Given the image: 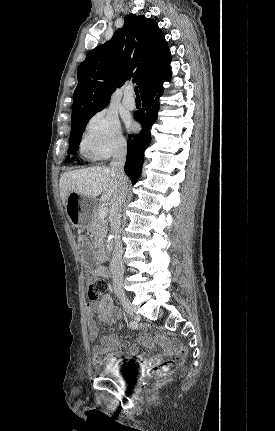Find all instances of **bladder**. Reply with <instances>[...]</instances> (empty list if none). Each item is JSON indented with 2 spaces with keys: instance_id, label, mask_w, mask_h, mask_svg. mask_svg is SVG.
Masks as SVG:
<instances>
[{
  "instance_id": "1",
  "label": "bladder",
  "mask_w": 275,
  "mask_h": 431,
  "mask_svg": "<svg viewBox=\"0 0 275 431\" xmlns=\"http://www.w3.org/2000/svg\"><path fill=\"white\" fill-rule=\"evenodd\" d=\"M102 372L112 377L117 383H125L128 377L129 366L126 362L105 363Z\"/></svg>"
}]
</instances>
